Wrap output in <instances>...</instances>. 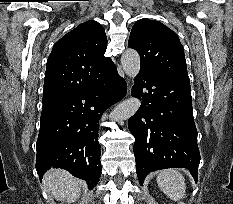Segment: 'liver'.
Masks as SVG:
<instances>
[{"instance_id":"6515ba94","label":"liver","mask_w":233,"mask_h":204,"mask_svg":"<svg viewBox=\"0 0 233 204\" xmlns=\"http://www.w3.org/2000/svg\"><path fill=\"white\" fill-rule=\"evenodd\" d=\"M43 182L57 200L76 201L80 196V181L63 169H50Z\"/></svg>"}]
</instances>
